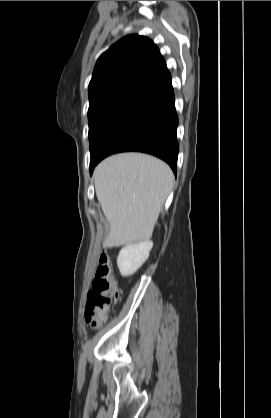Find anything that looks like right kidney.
<instances>
[{
    "mask_svg": "<svg viewBox=\"0 0 271 418\" xmlns=\"http://www.w3.org/2000/svg\"><path fill=\"white\" fill-rule=\"evenodd\" d=\"M152 241H143L123 247L117 258V265L122 276L134 274L148 259Z\"/></svg>",
    "mask_w": 271,
    "mask_h": 418,
    "instance_id": "obj_1",
    "label": "right kidney"
}]
</instances>
